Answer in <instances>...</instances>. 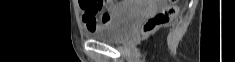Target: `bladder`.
<instances>
[{"label": "bladder", "instance_id": "31cf9c89", "mask_svg": "<svg viewBox=\"0 0 235 62\" xmlns=\"http://www.w3.org/2000/svg\"><path fill=\"white\" fill-rule=\"evenodd\" d=\"M141 14L140 4L128 1L114 13V16L104 25L87 32V37L102 42H121L139 20Z\"/></svg>", "mask_w": 235, "mask_h": 62}]
</instances>
